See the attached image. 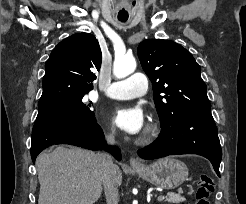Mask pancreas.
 I'll use <instances>...</instances> for the list:
<instances>
[{"label": "pancreas", "mask_w": 246, "mask_h": 204, "mask_svg": "<svg viewBox=\"0 0 246 204\" xmlns=\"http://www.w3.org/2000/svg\"><path fill=\"white\" fill-rule=\"evenodd\" d=\"M185 200H186L185 197L181 196L180 193L178 194L169 193L167 198V201L169 203H175V204H179L181 202H184Z\"/></svg>", "instance_id": "obj_1"}]
</instances>
